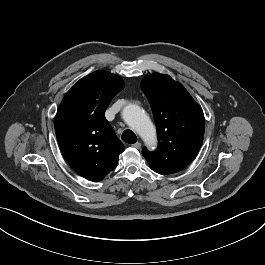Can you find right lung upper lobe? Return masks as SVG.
<instances>
[{
  "label": "right lung upper lobe",
  "mask_w": 265,
  "mask_h": 265,
  "mask_svg": "<svg viewBox=\"0 0 265 265\" xmlns=\"http://www.w3.org/2000/svg\"><path fill=\"white\" fill-rule=\"evenodd\" d=\"M123 88L119 76L95 71L80 79L58 108L55 132L62 154L76 173L90 181H101L124 151L105 118L110 101Z\"/></svg>",
  "instance_id": "obj_1"
}]
</instances>
